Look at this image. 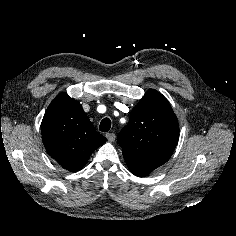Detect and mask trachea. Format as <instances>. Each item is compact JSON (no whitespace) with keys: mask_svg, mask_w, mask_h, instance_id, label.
Here are the masks:
<instances>
[{"mask_svg":"<svg viewBox=\"0 0 236 236\" xmlns=\"http://www.w3.org/2000/svg\"><path fill=\"white\" fill-rule=\"evenodd\" d=\"M111 128V120L109 118H104L99 126V130L101 132H108Z\"/></svg>","mask_w":236,"mask_h":236,"instance_id":"obj_1","label":"trachea"}]
</instances>
